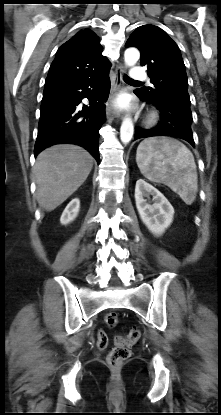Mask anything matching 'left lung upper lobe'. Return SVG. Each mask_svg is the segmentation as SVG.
<instances>
[{
	"label": "left lung upper lobe",
	"instance_id": "obj_1",
	"mask_svg": "<svg viewBox=\"0 0 221 415\" xmlns=\"http://www.w3.org/2000/svg\"><path fill=\"white\" fill-rule=\"evenodd\" d=\"M137 47L141 66L147 67L153 87L138 91L150 100L178 98L190 101L185 65L177 44L162 29L154 25L138 27L125 44Z\"/></svg>",
	"mask_w": 221,
	"mask_h": 415
}]
</instances>
